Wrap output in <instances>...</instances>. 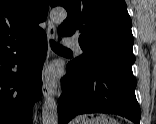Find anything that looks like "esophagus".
<instances>
[{
  "mask_svg": "<svg viewBox=\"0 0 156 124\" xmlns=\"http://www.w3.org/2000/svg\"><path fill=\"white\" fill-rule=\"evenodd\" d=\"M56 28L53 22L48 18V27H47V36L48 39H54ZM51 50L49 49L48 54H50ZM42 92L44 97L52 95V89L49 83L46 80H43Z\"/></svg>",
  "mask_w": 156,
  "mask_h": 124,
  "instance_id": "obj_1",
  "label": "esophagus"
}]
</instances>
